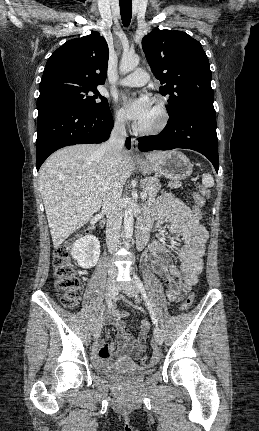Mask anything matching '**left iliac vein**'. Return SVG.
<instances>
[{
  "mask_svg": "<svg viewBox=\"0 0 259 431\" xmlns=\"http://www.w3.org/2000/svg\"><path fill=\"white\" fill-rule=\"evenodd\" d=\"M125 293L127 294V296L129 297H135L138 293V286L136 284L135 281H132L130 283V285L126 286L124 288ZM153 338L154 341L158 344V345H162L163 343V334L161 332V330L156 326L153 330Z\"/></svg>",
  "mask_w": 259,
  "mask_h": 431,
  "instance_id": "4c4485c4",
  "label": "left iliac vein"
}]
</instances>
